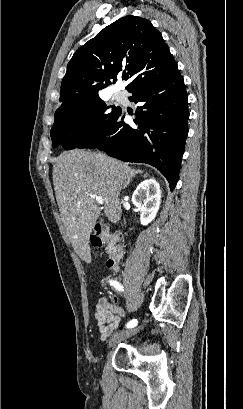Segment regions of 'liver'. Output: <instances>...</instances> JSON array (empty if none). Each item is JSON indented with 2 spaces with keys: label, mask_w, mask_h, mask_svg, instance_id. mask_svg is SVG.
Instances as JSON below:
<instances>
[{
  "label": "liver",
  "mask_w": 243,
  "mask_h": 409,
  "mask_svg": "<svg viewBox=\"0 0 243 409\" xmlns=\"http://www.w3.org/2000/svg\"><path fill=\"white\" fill-rule=\"evenodd\" d=\"M53 184L61 220L74 250L85 256L89 253V237L99 215L95 199L85 193L101 196L104 213L112 223L121 218L120 191L136 171L114 158L84 150L62 153L53 166Z\"/></svg>",
  "instance_id": "obj_1"
}]
</instances>
